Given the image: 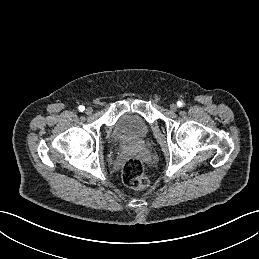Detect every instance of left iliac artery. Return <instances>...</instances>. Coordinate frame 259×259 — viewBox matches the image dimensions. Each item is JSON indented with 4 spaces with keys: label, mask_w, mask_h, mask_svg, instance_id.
I'll return each instance as SVG.
<instances>
[{
    "label": "left iliac artery",
    "mask_w": 259,
    "mask_h": 259,
    "mask_svg": "<svg viewBox=\"0 0 259 259\" xmlns=\"http://www.w3.org/2000/svg\"><path fill=\"white\" fill-rule=\"evenodd\" d=\"M183 105H184L183 102H181V101H178V102H177V106H178V107H182Z\"/></svg>",
    "instance_id": "1"
}]
</instances>
